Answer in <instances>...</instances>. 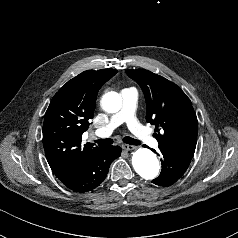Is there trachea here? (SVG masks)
Wrapping results in <instances>:
<instances>
[{
    "mask_svg": "<svg viewBox=\"0 0 238 238\" xmlns=\"http://www.w3.org/2000/svg\"><path fill=\"white\" fill-rule=\"evenodd\" d=\"M123 142L126 143V144H129V145H140L141 142L139 140H136V139H133L131 137H124L123 138ZM96 143L100 146H104V145H110L113 143V140L112 139H99V140H96Z\"/></svg>",
    "mask_w": 238,
    "mask_h": 238,
    "instance_id": "obj_1",
    "label": "trachea"
}]
</instances>
